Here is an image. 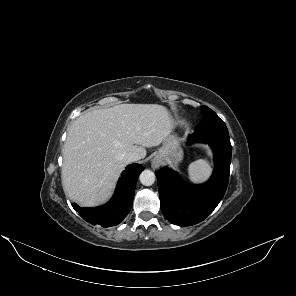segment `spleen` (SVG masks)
<instances>
[{
  "mask_svg": "<svg viewBox=\"0 0 296 296\" xmlns=\"http://www.w3.org/2000/svg\"><path fill=\"white\" fill-rule=\"evenodd\" d=\"M189 178L194 182L205 180L211 173V167L207 160L199 159L188 167Z\"/></svg>",
  "mask_w": 296,
  "mask_h": 296,
  "instance_id": "obj_1",
  "label": "spleen"
}]
</instances>
